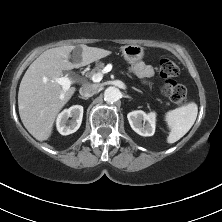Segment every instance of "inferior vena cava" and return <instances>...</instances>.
<instances>
[{"mask_svg":"<svg viewBox=\"0 0 222 222\" xmlns=\"http://www.w3.org/2000/svg\"><path fill=\"white\" fill-rule=\"evenodd\" d=\"M98 86L95 84H84L80 90L79 93L84 98L92 97L97 93Z\"/></svg>","mask_w":222,"mask_h":222,"instance_id":"obj_1","label":"inferior vena cava"}]
</instances>
